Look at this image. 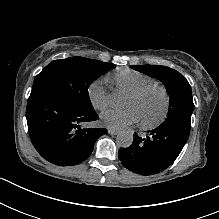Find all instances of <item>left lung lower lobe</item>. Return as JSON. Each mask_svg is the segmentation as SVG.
I'll return each mask as SVG.
<instances>
[{"label": "left lung lower lobe", "mask_w": 219, "mask_h": 219, "mask_svg": "<svg viewBox=\"0 0 219 219\" xmlns=\"http://www.w3.org/2000/svg\"><path fill=\"white\" fill-rule=\"evenodd\" d=\"M147 133L145 138L135 133L132 145L118 152L122 165L141 175L157 174L170 166L182 151L190 127L168 123Z\"/></svg>", "instance_id": "left-lung-lower-lobe-1"}]
</instances>
